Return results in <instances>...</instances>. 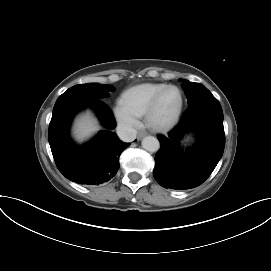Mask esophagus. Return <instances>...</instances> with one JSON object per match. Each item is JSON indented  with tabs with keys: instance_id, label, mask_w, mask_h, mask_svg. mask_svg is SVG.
I'll return each instance as SVG.
<instances>
[{
	"instance_id": "34e87169",
	"label": "esophagus",
	"mask_w": 271,
	"mask_h": 271,
	"mask_svg": "<svg viewBox=\"0 0 271 271\" xmlns=\"http://www.w3.org/2000/svg\"><path fill=\"white\" fill-rule=\"evenodd\" d=\"M147 135V132L144 131V130H141L139 133H138V139H142L143 137H145Z\"/></svg>"
}]
</instances>
